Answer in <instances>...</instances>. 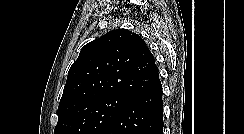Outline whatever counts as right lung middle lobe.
Instances as JSON below:
<instances>
[{"mask_svg": "<svg viewBox=\"0 0 244 134\" xmlns=\"http://www.w3.org/2000/svg\"><path fill=\"white\" fill-rule=\"evenodd\" d=\"M128 101L129 98L115 96L85 104L71 115L58 119L54 134H101Z\"/></svg>", "mask_w": 244, "mask_h": 134, "instance_id": "dd1d6c3e", "label": "right lung middle lobe"}]
</instances>
